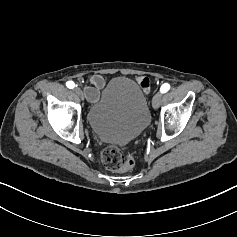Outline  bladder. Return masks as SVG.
<instances>
[{
    "label": "bladder",
    "mask_w": 237,
    "mask_h": 237,
    "mask_svg": "<svg viewBox=\"0 0 237 237\" xmlns=\"http://www.w3.org/2000/svg\"><path fill=\"white\" fill-rule=\"evenodd\" d=\"M87 120L102 141L124 144L136 138L150 122L146 94L130 78H114L90 106Z\"/></svg>",
    "instance_id": "obj_1"
}]
</instances>
